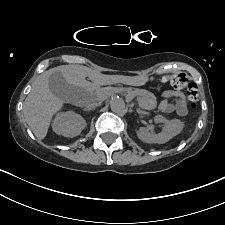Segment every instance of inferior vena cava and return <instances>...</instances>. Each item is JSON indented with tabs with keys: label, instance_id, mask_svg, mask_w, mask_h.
Segmentation results:
<instances>
[{
	"label": "inferior vena cava",
	"instance_id": "obj_1",
	"mask_svg": "<svg viewBox=\"0 0 225 225\" xmlns=\"http://www.w3.org/2000/svg\"><path fill=\"white\" fill-rule=\"evenodd\" d=\"M103 97L102 96H98L94 99V101L90 104H88V108H95L97 106H99L102 103Z\"/></svg>",
	"mask_w": 225,
	"mask_h": 225
}]
</instances>
